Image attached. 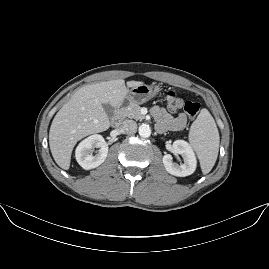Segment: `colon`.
I'll use <instances>...</instances> for the list:
<instances>
[{"label":"colon","mask_w":269,"mask_h":269,"mask_svg":"<svg viewBox=\"0 0 269 269\" xmlns=\"http://www.w3.org/2000/svg\"><path fill=\"white\" fill-rule=\"evenodd\" d=\"M164 100L165 108L169 112L176 113L180 110H184L191 119L195 118L201 110V104L199 102L184 100L182 96L173 91H168L165 94Z\"/></svg>","instance_id":"1"}]
</instances>
